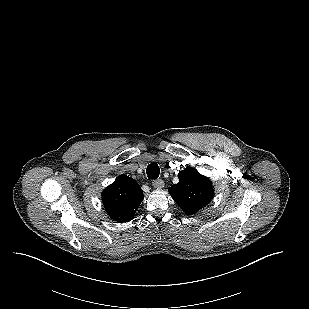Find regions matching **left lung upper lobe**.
<instances>
[{
  "mask_svg": "<svg viewBox=\"0 0 309 309\" xmlns=\"http://www.w3.org/2000/svg\"><path fill=\"white\" fill-rule=\"evenodd\" d=\"M179 182L169 188L174 201L186 215L195 214L213 198L214 190L208 177L188 167L178 174Z\"/></svg>",
  "mask_w": 309,
  "mask_h": 309,
  "instance_id": "left-lung-upper-lobe-1",
  "label": "left lung upper lobe"
}]
</instances>
